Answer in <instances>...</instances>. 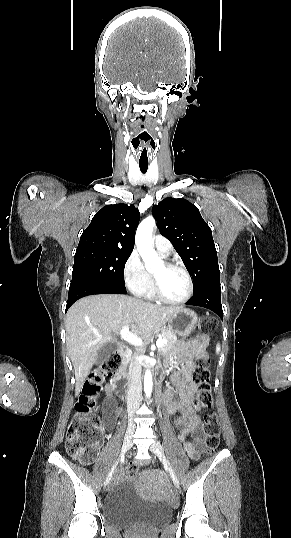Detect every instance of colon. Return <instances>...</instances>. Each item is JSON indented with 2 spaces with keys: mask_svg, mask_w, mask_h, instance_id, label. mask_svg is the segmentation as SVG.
<instances>
[{
  "mask_svg": "<svg viewBox=\"0 0 291 538\" xmlns=\"http://www.w3.org/2000/svg\"><path fill=\"white\" fill-rule=\"evenodd\" d=\"M214 328V320L204 317L197 325V329L204 333ZM122 357L118 351L109 357L87 377L82 393L76 403V413L69 425L66 435L67 452L83 463H90L96 456L101 429L97 417V400L101 392L102 382L106 377H112L119 371ZM195 368L192 380L198 388L196 404L202 408L213 407L211 394L209 359L205 355L195 358ZM205 443L209 453H212L220 443V424L216 413L204 416ZM137 469L130 466L127 474L133 476Z\"/></svg>",
  "mask_w": 291,
  "mask_h": 538,
  "instance_id": "obj_1",
  "label": "colon"
}]
</instances>
